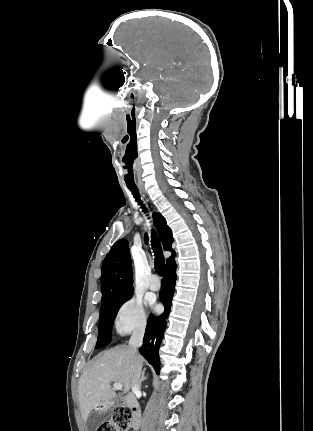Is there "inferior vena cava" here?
I'll return each instance as SVG.
<instances>
[{"instance_id": "inferior-vena-cava-1", "label": "inferior vena cava", "mask_w": 313, "mask_h": 431, "mask_svg": "<svg viewBox=\"0 0 313 431\" xmlns=\"http://www.w3.org/2000/svg\"><path fill=\"white\" fill-rule=\"evenodd\" d=\"M143 337H144V329L140 328L133 332L129 340V346L135 354H137V349L143 343ZM140 375H141V368L139 367L137 372L134 375V378L131 384V389L134 394H136L140 390ZM130 401L132 403H137L136 398L133 395L130 396Z\"/></svg>"}]
</instances>
